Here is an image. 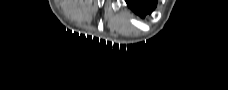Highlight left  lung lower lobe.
Instances as JSON below:
<instances>
[{
  "mask_svg": "<svg viewBox=\"0 0 228 90\" xmlns=\"http://www.w3.org/2000/svg\"><path fill=\"white\" fill-rule=\"evenodd\" d=\"M126 2L141 17L150 13L156 6V0H127Z\"/></svg>",
  "mask_w": 228,
  "mask_h": 90,
  "instance_id": "left-lung-lower-lobe-1",
  "label": "left lung lower lobe"
}]
</instances>
